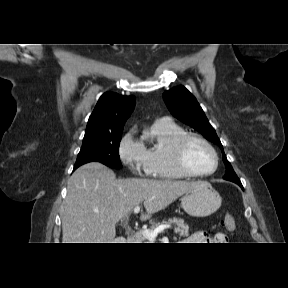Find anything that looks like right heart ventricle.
Returning <instances> with one entry per match:
<instances>
[{
	"label": "right heart ventricle",
	"mask_w": 288,
	"mask_h": 288,
	"mask_svg": "<svg viewBox=\"0 0 288 288\" xmlns=\"http://www.w3.org/2000/svg\"><path fill=\"white\" fill-rule=\"evenodd\" d=\"M185 133L181 126L169 120H158L151 125L146 133L150 144L145 147V168L149 176L161 179L188 177L177 170L172 160V145Z\"/></svg>",
	"instance_id": "obj_1"
}]
</instances>
